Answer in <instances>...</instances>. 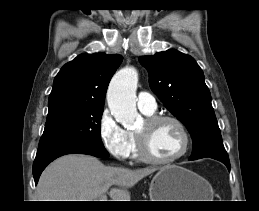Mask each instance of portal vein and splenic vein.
<instances>
[{
  "label": "portal vein and splenic vein",
  "instance_id": "portal-vein-and-splenic-vein-1",
  "mask_svg": "<svg viewBox=\"0 0 259 211\" xmlns=\"http://www.w3.org/2000/svg\"><path fill=\"white\" fill-rule=\"evenodd\" d=\"M98 201H108L107 196L106 195H102Z\"/></svg>",
  "mask_w": 259,
  "mask_h": 211
}]
</instances>
